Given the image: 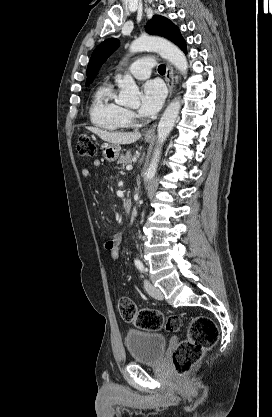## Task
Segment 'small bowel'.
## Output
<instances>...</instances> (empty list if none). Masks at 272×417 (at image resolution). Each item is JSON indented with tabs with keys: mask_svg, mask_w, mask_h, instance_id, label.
Instances as JSON below:
<instances>
[{
	"mask_svg": "<svg viewBox=\"0 0 272 417\" xmlns=\"http://www.w3.org/2000/svg\"><path fill=\"white\" fill-rule=\"evenodd\" d=\"M93 165H94V167L98 168V167H101V166L103 165V163H102V161H101V160L96 159V160H94ZM81 175H82L83 177H85V178L90 177V175H91V171H90V169H89V168H83V169L81 170ZM122 240H123V235H122V233H116V234H114L113 236H111L110 238H108V239L105 241V243H104V247H105V249H106L107 245H108L110 242H113V241H120V242H122Z\"/></svg>",
	"mask_w": 272,
	"mask_h": 417,
	"instance_id": "obj_1",
	"label": "small bowel"
}]
</instances>
